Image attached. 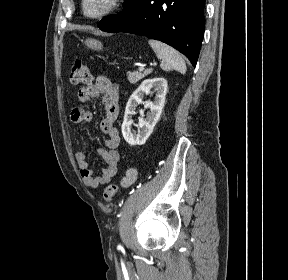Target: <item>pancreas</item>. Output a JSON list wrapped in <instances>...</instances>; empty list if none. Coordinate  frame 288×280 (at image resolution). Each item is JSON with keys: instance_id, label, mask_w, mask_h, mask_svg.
<instances>
[{"instance_id": "1", "label": "pancreas", "mask_w": 288, "mask_h": 280, "mask_svg": "<svg viewBox=\"0 0 288 280\" xmlns=\"http://www.w3.org/2000/svg\"><path fill=\"white\" fill-rule=\"evenodd\" d=\"M151 72H152V69H147L146 71H133V72L128 71L127 79L130 83L135 84L139 80L143 79L145 76L150 74Z\"/></svg>"}]
</instances>
